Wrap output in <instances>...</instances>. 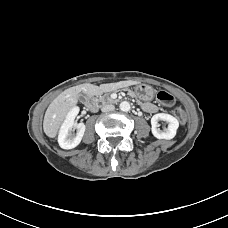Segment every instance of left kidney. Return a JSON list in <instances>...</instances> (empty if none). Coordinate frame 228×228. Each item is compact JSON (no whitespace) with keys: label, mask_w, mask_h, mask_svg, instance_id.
Segmentation results:
<instances>
[{"label":"left kidney","mask_w":228,"mask_h":228,"mask_svg":"<svg viewBox=\"0 0 228 228\" xmlns=\"http://www.w3.org/2000/svg\"><path fill=\"white\" fill-rule=\"evenodd\" d=\"M161 120L167 122L168 124V127L164 130H160L158 128V122ZM151 125H152V128H151L152 134L157 139L170 140L175 137L176 131L179 127V122L172 115L165 114V113H158L151 118Z\"/></svg>","instance_id":"5707ae66"}]
</instances>
